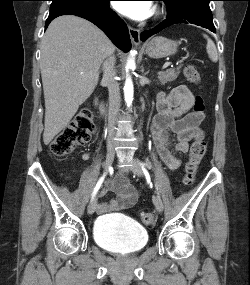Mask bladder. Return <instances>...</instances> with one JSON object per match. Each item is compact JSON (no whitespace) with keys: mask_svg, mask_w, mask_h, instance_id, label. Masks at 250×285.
<instances>
[{"mask_svg":"<svg viewBox=\"0 0 250 285\" xmlns=\"http://www.w3.org/2000/svg\"><path fill=\"white\" fill-rule=\"evenodd\" d=\"M92 233L98 246L119 255L142 250L149 239L144 227L130 221H118L112 216L98 218Z\"/></svg>","mask_w":250,"mask_h":285,"instance_id":"obj_1","label":"bladder"}]
</instances>
